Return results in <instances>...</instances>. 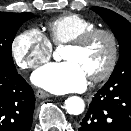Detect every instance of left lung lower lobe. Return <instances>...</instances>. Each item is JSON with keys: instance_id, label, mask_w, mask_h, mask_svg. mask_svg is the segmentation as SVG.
<instances>
[{"instance_id": "obj_1", "label": "left lung lower lobe", "mask_w": 131, "mask_h": 131, "mask_svg": "<svg viewBox=\"0 0 131 131\" xmlns=\"http://www.w3.org/2000/svg\"><path fill=\"white\" fill-rule=\"evenodd\" d=\"M78 131H131V83H106L94 95Z\"/></svg>"}]
</instances>
